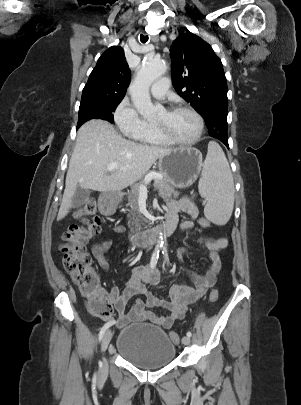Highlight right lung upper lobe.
Listing matches in <instances>:
<instances>
[{
	"mask_svg": "<svg viewBox=\"0 0 301 405\" xmlns=\"http://www.w3.org/2000/svg\"><path fill=\"white\" fill-rule=\"evenodd\" d=\"M129 81L130 69L124 50L119 46H112L99 58L83 89L82 98L124 97Z\"/></svg>",
	"mask_w": 301,
	"mask_h": 405,
	"instance_id": "1",
	"label": "right lung upper lobe"
}]
</instances>
